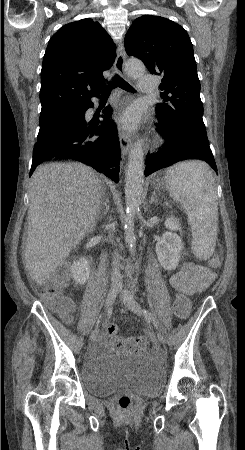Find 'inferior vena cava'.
I'll return each instance as SVG.
<instances>
[{
	"label": "inferior vena cava",
	"mask_w": 245,
	"mask_h": 450,
	"mask_svg": "<svg viewBox=\"0 0 245 450\" xmlns=\"http://www.w3.org/2000/svg\"><path fill=\"white\" fill-rule=\"evenodd\" d=\"M111 282H112V284H115V285L122 284V276L120 273L119 257H118L117 253H115L113 263H112Z\"/></svg>",
	"instance_id": "obj_1"
}]
</instances>
